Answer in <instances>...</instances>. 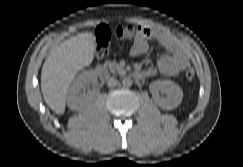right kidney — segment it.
<instances>
[{"mask_svg":"<svg viewBox=\"0 0 243 167\" xmlns=\"http://www.w3.org/2000/svg\"><path fill=\"white\" fill-rule=\"evenodd\" d=\"M96 80L97 76L94 71H85L74 80L66 98L70 110L79 111L88 104L90 94L86 93V90Z\"/></svg>","mask_w":243,"mask_h":167,"instance_id":"obj_1","label":"right kidney"}]
</instances>
